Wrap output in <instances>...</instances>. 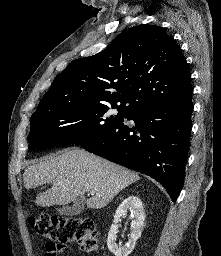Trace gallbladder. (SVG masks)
<instances>
[{
	"label": "gallbladder",
	"mask_w": 221,
	"mask_h": 256,
	"mask_svg": "<svg viewBox=\"0 0 221 256\" xmlns=\"http://www.w3.org/2000/svg\"><path fill=\"white\" fill-rule=\"evenodd\" d=\"M85 205V198L79 197L74 202L73 205H63L59 208H57V213L60 215H66V216H72V215H78L80 214Z\"/></svg>",
	"instance_id": "bac80fb5"
}]
</instances>
